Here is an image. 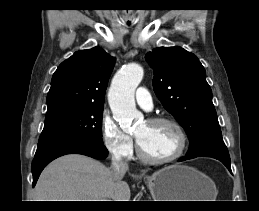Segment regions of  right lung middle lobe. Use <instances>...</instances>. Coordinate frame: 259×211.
Instances as JSON below:
<instances>
[{"instance_id":"right-lung-middle-lobe-1","label":"right lung middle lobe","mask_w":259,"mask_h":211,"mask_svg":"<svg viewBox=\"0 0 259 211\" xmlns=\"http://www.w3.org/2000/svg\"><path fill=\"white\" fill-rule=\"evenodd\" d=\"M102 107H87L46 121L39 142L57 138H79L97 144L102 140Z\"/></svg>"}]
</instances>
